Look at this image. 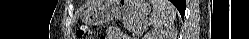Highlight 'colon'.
<instances>
[{"label":"colon","mask_w":249,"mask_h":39,"mask_svg":"<svg viewBox=\"0 0 249 39\" xmlns=\"http://www.w3.org/2000/svg\"><path fill=\"white\" fill-rule=\"evenodd\" d=\"M77 37L79 39H95L96 32L87 25H81L77 29Z\"/></svg>","instance_id":"1"}]
</instances>
